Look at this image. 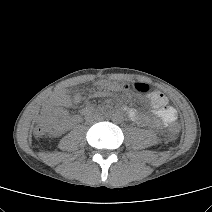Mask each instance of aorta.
<instances>
[{
	"mask_svg": "<svg viewBox=\"0 0 212 212\" xmlns=\"http://www.w3.org/2000/svg\"><path fill=\"white\" fill-rule=\"evenodd\" d=\"M124 119H125V116H124V114H123L122 112H120V111H115V112H113L112 115H111V120H112V122L115 123V124H120V123H122V122L124 121Z\"/></svg>",
	"mask_w": 212,
	"mask_h": 212,
	"instance_id": "obj_1",
	"label": "aorta"
}]
</instances>
